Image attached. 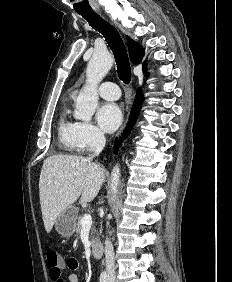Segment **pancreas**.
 Instances as JSON below:
<instances>
[{
    "label": "pancreas",
    "mask_w": 232,
    "mask_h": 282,
    "mask_svg": "<svg viewBox=\"0 0 232 282\" xmlns=\"http://www.w3.org/2000/svg\"><path fill=\"white\" fill-rule=\"evenodd\" d=\"M81 219H82V217H79L78 220L76 221V229H75L76 233H80V231L82 229ZM93 232H95L94 228L92 229V233ZM94 243H95V240L93 239L92 244H94Z\"/></svg>",
    "instance_id": "obj_1"
}]
</instances>
